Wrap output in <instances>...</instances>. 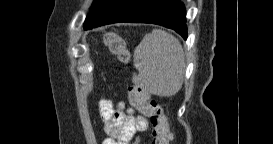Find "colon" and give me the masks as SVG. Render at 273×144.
Wrapping results in <instances>:
<instances>
[{
  "label": "colon",
  "instance_id": "1",
  "mask_svg": "<svg viewBox=\"0 0 273 144\" xmlns=\"http://www.w3.org/2000/svg\"><path fill=\"white\" fill-rule=\"evenodd\" d=\"M106 41L111 52L117 55L120 60L125 62L130 60L126 43L119 34H109ZM129 99L131 104L150 121L151 144H169L171 141L169 122L161 105L148 92L137 86L129 87Z\"/></svg>",
  "mask_w": 273,
  "mask_h": 144
}]
</instances>
